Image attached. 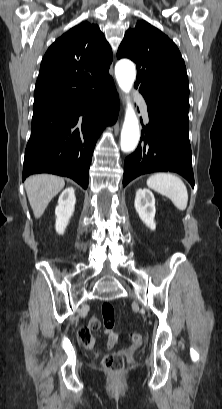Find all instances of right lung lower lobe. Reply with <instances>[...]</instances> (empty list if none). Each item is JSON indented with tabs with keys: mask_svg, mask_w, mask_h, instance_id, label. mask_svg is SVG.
I'll return each mask as SVG.
<instances>
[{
	"mask_svg": "<svg viewBox=\"0 0 222 409\" xmlns=\"http://www.w3.org/2000/svg\"><path fill=\"white\" fill-rule=\"evenodd\" d=\"M119 99L112 77L93 82L81 96L33 109L23 180L35 173L70 177L88 187L97 138L117 119Z\"/></svg>",
	"mask_w": 222,
	"mask_h": 409,
	"instance_id": "obj_1",
	"label": "right lung lower lobe"
}]
</instances>
